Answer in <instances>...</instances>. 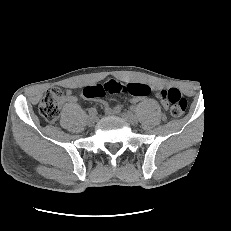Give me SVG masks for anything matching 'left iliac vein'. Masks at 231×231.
I'll return each instance as SVG.
<instances>
[{
    "label": "left iliac vein",
    "mask_w": 231,
    "mask_h": 231,
    "mask_svg": "<svg viewBox=\"0 0 231 231\" xmlns=\"http://www.w3.org/2000/svg\"><path fill=\"white\" fill-rule=\"evenodd\" d=\"M122 117L131 125H136L138 123L137 117L131 112H124Z\"/></svg>",
    "instance_id": "4c4485c4"
}]
</instances>
